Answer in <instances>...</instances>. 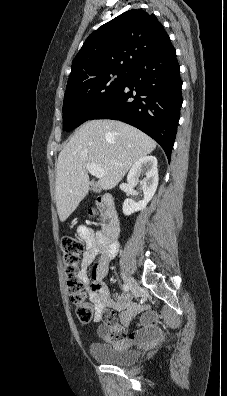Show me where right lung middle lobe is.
I'll return each instance as SVG.
<instances>
[{
	"mask_svg": "<svg viewBox=\"0 0 227 396\" xmlns=\"http://www.w3.org/2000/svg\"><path fill=\"white\" fill-rule=\"evenodd\" d=\"M128 75L129 71H110L67 87L63 102L64 131L89 120L122 88Z\"/></svg>",
	"mask_w": 227,
	"mask_h": 396,
	"instance_id": "dd1d6c3e",
	"label": "right lung middle lobe"
}]
</instances>
